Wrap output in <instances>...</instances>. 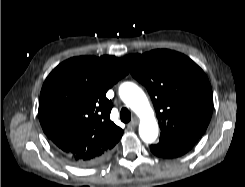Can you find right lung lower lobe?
<instances>
[{
	"label": "right lung lower lobe",
	"instance_id": "1",
	"mask_svg": "<svg viewBox=\"0 0 245 187\" xmlns=\"http://www.w3.org/2000/svg\"><path fill=\"white\" fill-rule=\"evenodd\" d=\"M110 153H111V152H109V153L103 155L101 158H98V159H96V160L89 161V162H84V161H78V162H75V161H71V160H70V161L73 162V163H75V164H78V165L87 166V165H92V164H95V163H98V162L102 161V160L105 159ZM68 160H69V159H68Z\"/></svg>",
	"mask_w": 245,
	"mask_h": 187
}]
</instances>
